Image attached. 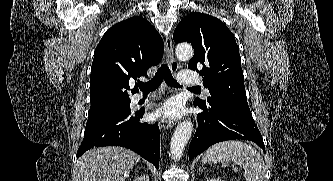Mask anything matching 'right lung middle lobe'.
<instances>
[{"label": "right lung middle lobe", "instance_id": "dd1d6c3e", "mask_svg": "<svg viewBox=\"0 0 333 181\" xmlns=\"http://www.w3.org/2000/svg\"><path fill=\"white\" fill-rule=\"evenodd\" d=\"M130 109V100L120 101L100 108L89 110L86 126L101 122L113 115Z\"/></svg>", "mask_w": 333, "mask_h": 181}]
</instances>
